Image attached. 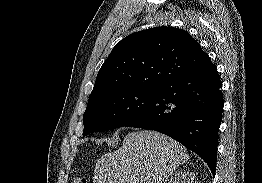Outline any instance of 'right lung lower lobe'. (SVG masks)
Wrapping results in <instances>:
<instances>
[{"label": "right lung lower lobe", "mask_w": 262, "mask_h": 183, "mask_svg": "<svg viewBox=\"0 0 262 183\" xmlns=\"http://www.w3.org/2000/svg\"><path fill=\"white\" fill-rule=\"evenodd\" d=\"M221 87L217 68L210 61L159 86L150 105L125 126L172 137L198 154L215 175L224 106Z\"/></svg>", "instance_id": "right-lung-lower-lobe-1"}]
</instances>
